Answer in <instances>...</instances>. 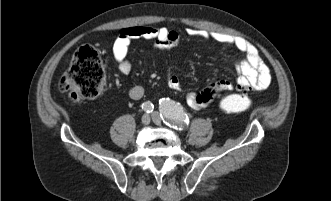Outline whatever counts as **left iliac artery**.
<instances>
[{
	"mask_svg": "<svg viewBox=\"0 0 331 201\" xmlns=\"http://www.w3.org/2000/svg\"><path fill=\"white\" fill-rule=\"evenodd\" d=\"M161 117L167 124L176 130H183L188 125L189 117L179 103H175L169 98L159 100Z\"/></svg>",
	"mask_w": 331,
	"mask_h": 201,
	"instance_id": "1",
	"label": "left iliac artery"
}]
</instances>
